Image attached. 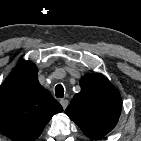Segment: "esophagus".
<instances>
[{
	"instance_id": "esophagus-1",
	"label": "esophagus",
	"mask_w": 141,
	"mask_h": 141,
	"mask_svg": "<svg viewBox=\"0 0 141 141\" xmlns=\"http://www.w3.org/2000/svg\"><path fill=\"white\" fill-rule=\"evenodd\" d=\"M60 104L62 105L63 109H66V107L68 106V100L61 99Z\"/></svg>"
}]
</instances>
